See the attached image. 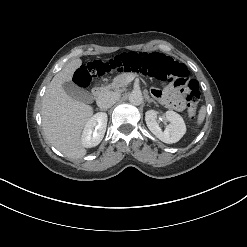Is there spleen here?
Listing matches in <instances>:
<instances>
[{
    "instance_id": "obj_1",
    "label": "spleen",
    "mask_w": 247,
    "mask_h": 247,
    "mask_svg": "<svg viewBox=\"0 0 247 247\" xmlns=\"http://www.w3.org/2000/svg\"><path fill=\"white\" fill-rule=\"evenodd\" d=\"M205 115H206V107L205 106H202L200 111H199V114H198V118H197V125H201L204 118H205Z\"/></svg>"
}]
</instances>
